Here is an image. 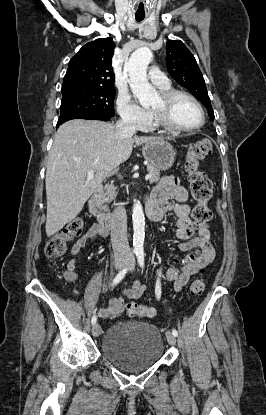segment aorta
<instances>
[{"mask_svg":"<svg viewBox=\"0 0 266 415\" xmlns=\"http://www.w3.org/2000/svg\"><path fill=\"white\" fill-rule=\"evenodd\" d=\"M153 57L148 47L135 50L129 60L125 62L124 69L130 78V87L133 95L142 106H148L156 96L155 89L148 82L147 67ZM133 246L135 251H142L145 237V218L140 202L133 205Z\"/></svg>","mask_w":266,"mask_h":415,"instance_id":"obj_1","label":"aorta"}]
</instances>
